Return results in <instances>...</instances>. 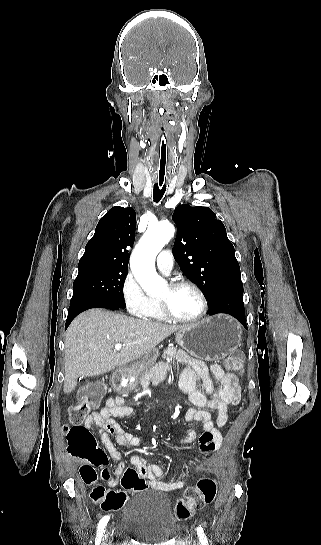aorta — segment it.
<instances>
[{
	"mask_svg": "<svg viewBox=\"0 0 321 545\" xmlns=\"http://www.w3.org/2000/svg\"><path fill=\"white\" fill-rule=\"evenodd\" d=\"M174 232L175 228L169 222L150 225L132 253L131 271L148 294H158L165 286V281L156 272L155 260Z\"/></svg>",
	"mask_w": 321,
	"mask_h": 545,
	"instance_id": "obj_1",
	"label": "aorta"
}]
</instances>
